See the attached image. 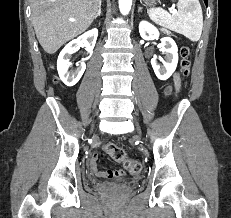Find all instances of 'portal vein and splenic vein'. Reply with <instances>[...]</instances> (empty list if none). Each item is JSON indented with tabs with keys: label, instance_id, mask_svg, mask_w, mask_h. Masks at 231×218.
<instances>
[{
	"label": "portal vein and splenic vein",
	"instance_id": "obj_1",
	"mask_svg": "<svg viewBox=\"0 0 231 218\" xmlns=\"http://www.w3.org/2000/svg\"><path fill=\"white\" fill-rule=\"evenodd\" d=\"M172 13H176V10L175 9H171ZM70 21H75L74 19H70Z\"/></svg>",
	"mask_w": 231,
	"mask_h": 218
}]
</instances>
